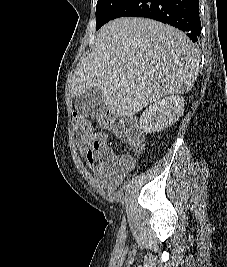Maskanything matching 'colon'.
Segmentation results:
<instances>
[{"mask_svg": "<svg viewBox=\"0 0 227 267\" xmlns=\"http://www.w3.org/2000/svg\"><path fill=\"white\" fill-rule=\"evenodd\" d=\"M75 127L77 132L83 136H96L103 131L109 130L114 126V116L110 111L102 110L94 115L95 124L81 113L75 114ZM119 136L127 141L134 149H140L143 146V138L138 129L130 122H123L118 127ZM96 142L97 138H96Z\"/></svg>", "mask_w": 227, "mask_h": 267, "instance_id": "5ec220e1", "label": "colon"}]
</instances>
